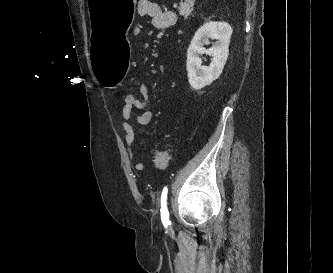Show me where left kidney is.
Returning a JSON list of instances; mask_svg holds the SVG:
<instances>
[{
  "mask_svg": "<svg viewBox=\"0 0 333 273\" xmlns=\"http://www.w3.org/2000/svg\"><path fill=\"white\" fill-rule=\"evenodd\" d=\"M232 28L226 22H207L200 27L187 51L186 69L188 81L195 90H200L218 79L228 58ZM210 39L216 40L210 49L204 48ZM211 57L209 66H202L201 55Z\"/></svg>",
  "mask_w": 333,
  "mask_h": 273,
  "instance_id": "obj_1",
  "label": "left kidney"
}]
</instances>
